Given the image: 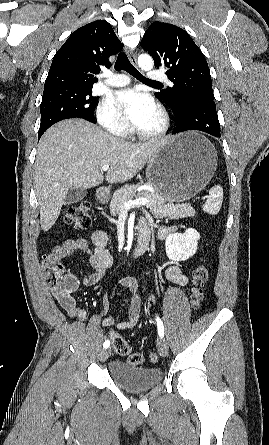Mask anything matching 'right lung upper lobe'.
Returning a JSON list of instances; mask_svg holds the SVG:
<instances>
[{
    "mask_svg": "<svg viewBox=\"0 0 269 445\" xmlns=\"http://www.w3.org/2000/svg\"><path fill=\"white\" fill-rule=\"evenodd\" d=\"M111 25L91 22L76 31L57 51L45 80L44 91L68 87H93L99 65L110 67L108 58L122 50Z\"/></svg>",
    "mask_w": 269,
    "mask_h": 445,
    "instance_id": "right-lung-upper-lobe-1",
    "label": "right lung upper lobe"
}]
</instances>
